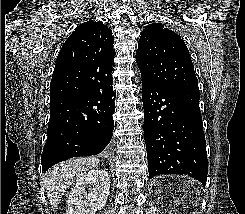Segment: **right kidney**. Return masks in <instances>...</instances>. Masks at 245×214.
<instances>
[{
	"mask_svg": "<svg viewBox=\"0 0 245 214\" xmlns=\"http://www.w3.org/2000/svg\"><path fill=\"white\" fill-rule=\"evenodd\" d=\"M110 189L108 173L92 169L77 180L67 198V214H95L107 201Z\"/></svg>",
	"mask_w": 245,
	"mask_h": 214,
	"instance_id": "ca27d5eb",
	"label": "right kidney"
}]
</instances>
